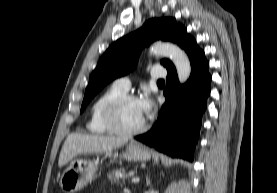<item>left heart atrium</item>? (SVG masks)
<instances>
[{"mask_svg": "<svg viewBox=\"0 0 277 193\" xmlns=\"http://www.w3.org/2000/svg\"><path fill=\"white\" fill-rule=\"evenodd\" d=\"M140 110L145 118L152 115L153 102L148 95H143L137 99Z\"/></svg>", "mask_w": 277, "mask_h": 193, "instance_id": "39dd6f15", "label": "left heart atrium"}]
</instances>
